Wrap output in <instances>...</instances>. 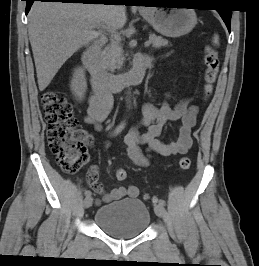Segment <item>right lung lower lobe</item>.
Masks as SVG:
<instances>
[{
  "label": "right lung lower lobe",
  "mask_w": 259,
  "mask_h": 266,
  "mask_svg": "<svg viewBox=\"0 0 259 266\" xmlns=\"http://www.w3.org/2000/svg\"><path fill=\"white\" fill-rule=\"evenodd\" d=\"M23 1H26V14H27L34 1L62 2V3H84V4H105L106 5V3H108L109 1H124V0H23Z\"/></svg>",
  "instance_id": "98d812e1"
}]
</instances>
